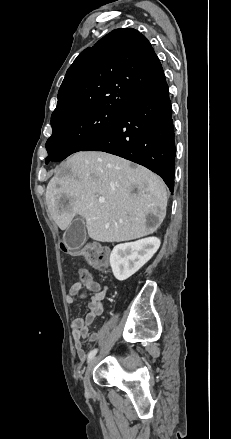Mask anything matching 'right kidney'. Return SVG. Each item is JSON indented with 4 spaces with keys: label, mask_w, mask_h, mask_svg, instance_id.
Returning <instances> with one entry per match:
<instances>
[{
    "label": "right kidney",
    "mask_w": 231,
    "mask_h": 439,
    "mask_svg": "<svg viewBox=\"0 0 231 439\" xmlns=\"http://www.w3.org/2000/svg\"><path fill=\"white\" fill-rule=\"evenodd\" d=\"M159 246L160 240L156 237L116 245L110 255L115 278L123 281L135 274L152 258Z\"/></svg>",
    "instance_id": "1"
}]
</instances>
